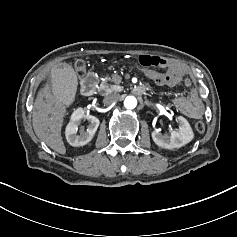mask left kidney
I'll return each instance as SVG.
<instances>
[{
  "mask_svg": "<svg viewBox=\"0 0 237 237\" xmlns=\"http://www.w3.org/2000/svg\"><path fill=\"white\" fill-rule=\"evenodd\" d=\"M177 119L179 121V129L172 131L170 135L162 134L157 130L152 132V139L158 146L165 149L180 148L194 138L189 122L182 116H178Z\"/></svg>",
  "mask_w": 237,
  "mask_h": 237,
  "instance_id": "5707ae66",
  "label": "left kidney"
}]
</instances>
